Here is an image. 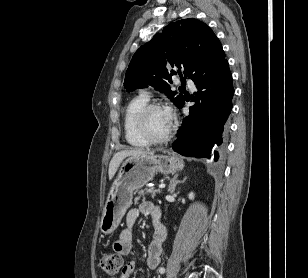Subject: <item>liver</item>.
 <instances>
[{
	"instance_id": "obj_1",
	"label": "liver",
	"mask_w": 308,
	"mask_h": 278,
	"mask_svg": "<svg viewBox=\"0 0 308 278\" xmlns=\"http://www.w3.org/2000/svg\"><path fill=\"white\" fill-rule=\"evenodd\" d=\"M142 154H153V152L146 151L143 149L122 150V151L117 152L113 156L109 164V170H108L109 180H111L114 177L119 165L126 157L137 156V155H142Z\"/></svg>"
}]
</instances>
